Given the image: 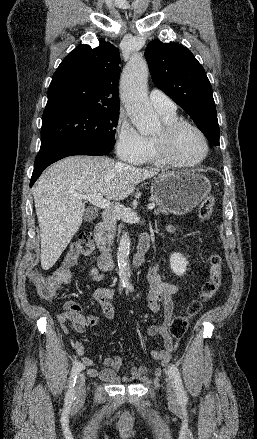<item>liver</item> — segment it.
<instances>
[{
  "mask_svg": "<svg viewBox=\"0 0 257 439\" xmlns=\"http://www.w3.org/2000/svg\"><path fill=\"white\" fill-rule=\"evenodd\" d=\"M157 175L108 157L71 156L51 165L36 182L34 203L41 238V266L50 269L79 230L85 211L72 194H101L108 201L127 198L135 186Z\"/></svg>",
  "mask_w": 257,
  "mask_h": 439,
  "instance_id": "obj_1",
  "label": "liver"
}]
</instances>
